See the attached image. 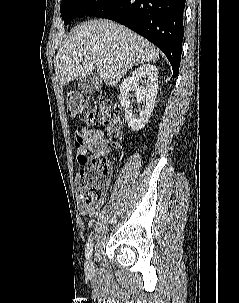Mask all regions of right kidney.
Listing matches in <instances>:
<instances>
[{"label": "right kidney", "instance_id": "obj_1", "mask_svg": "<svg viewBox=\"0 0 239 303\" xmlns=\"http://www.w3.org/2000/svg\"><path fill=\"white\" fill-rule=\"evenodd\" d=\"M146 78V86H140L139 80ZM135 91L136 102L145 103V108L139 115L133 114L130 107L129 93ZM158 92V68L152 64H145L132 73V76L125 79L120 86L119 100L125 110V119L132 131H139L148 122V119L155 106V98Z\"/></svg>", "mask_w": 239, "mask_h": 303}]
</instances>
